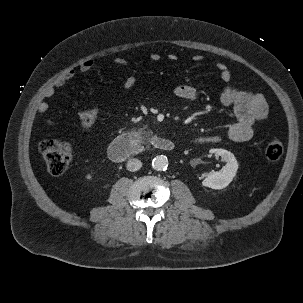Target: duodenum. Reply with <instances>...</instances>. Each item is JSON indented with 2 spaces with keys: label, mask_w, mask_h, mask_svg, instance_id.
I'll list each match as a JSON object with an SVG mask.
<instances>
[{
  "label": "duodenum",
  "mask_w": 303,
  "mask_h": 303,
  "mask_svg": "<svg viewBox=\"0 0 303 303\" xmlns=\"http://www.w3.org/2000/svg\"><path fill=\"white\" fill-rule=\"evenodd\" d=\"M148 142L153 148L161 151L169 152L175 148L170 139L160 136H152ZM142 145L143 140L139 134L125 133L113 140L109 146L108 155L111 160L121 162L138 152Z\"/></svg>",
  "instance_id": "duodenum-1"
}]
</instances>
